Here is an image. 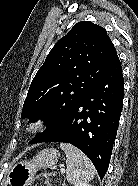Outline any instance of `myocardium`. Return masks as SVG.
I'll use <instances>...</instances> for the list:
<instances>
[{
    "instance_id": "myocardium-1",
    "label": "myocardium",
    "mask_w": 138,
    "mask_h": 186,
    "mask_svg": "<svg viewBox=\"0 0 138 186\" xmlns=\"http://www.w3.org/2000/svg\"><path fill=\"white\" fill-rule=\"evenodd\" d=\"M46 127L47 120L44 117H36L28 122L25 128V132L28 135L34 136L44 131Z\"/></svg>"
}]
</instances>
